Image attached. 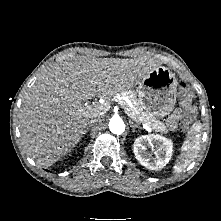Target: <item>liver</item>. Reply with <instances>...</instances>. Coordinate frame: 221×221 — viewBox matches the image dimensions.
<instances>
[{
	"instance_id": "obj_1",
	"label": "liver",
	"mask_w": 221,
	"mask_h": 221,
	"mask_svg": "<svg viewBox=\"0 0 221 221\" xmlns=\"http://www.w3.org/2000/svg\"><path fill=\"white\" fill-rule=\"evenodd\" d=\"M153 59L72 58L38 77L22 100L21 140L44 168L67 155L84 135L88 121L84 101L109 98L135 87L153 69ZM100 116V115H99Z\"/></svg>"
}]
</instances>
